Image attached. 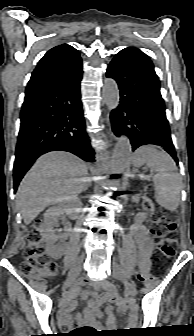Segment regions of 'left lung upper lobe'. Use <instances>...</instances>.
<instances>
[{
	"label": "left lung upper lobe",
	"instance_id": "obj_1",
	"mask_svg": "<svg viewBox=\"0 0 194 336\" xmlns=\"http://www.w3.org/2000/svg\"><path fill=\"white\" fill-rule=\"evenodd\" d=\"M143 53V52H142ZM143 55L145 56L146 60L148 61V63L150 64V66L153 68V64L151 62V60L148 58V56H146L144 53Z\"/></svg>",
	"mask_w": 194,
	"mask_h": 336
}]
</instances>
